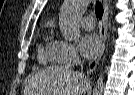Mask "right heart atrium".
I'll use <instances>...</instances> for the list:
<instances>
[{
    "instance_id": "obj_1",
    "label": "right heart atrium",
    "mask_w": 135,
    "mask_h": 95,
    "mask_svg": "<svg viewBox=\"0 0 135 95\" xmlns=\"http://www.w3.org/2000/svg\"><path fill=\"white\" fill-rule=\"evenodd\" d=\"M57 62L67 63L73 59L78 58L76 47L70 42L58 40L56 43Z\"/></svg>"
}]
</instances>
